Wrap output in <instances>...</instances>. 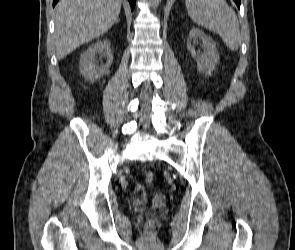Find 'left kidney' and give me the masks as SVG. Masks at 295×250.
Listing matches in <instances>:
<instances>
[{"mask_svg":"<svg viewBox=\"0 0 295 250\" xmlns=\"http://www.w3.org/2000/svg\"><path fill=\"white\" fill-rule=\"evenodd\" d=\"M198 39L202 41L204 49V52L200 55L196 54L193 44ZM187 48L192 57L197 59L198 71L206 75H211L219 61V54L215 41L200 29L192 28L187 39Z\"/></svg>","mask_w":295,"mask_h":250,"instance_id":"1","label":"left kidney"}]
</instances>
